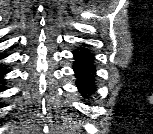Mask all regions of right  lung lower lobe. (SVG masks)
<instances>
[{
    "label": "right lung lower lobe",
    "instance_id": "obj_1",
    "mask_svg": "<svg viewBox=\"0 0 153 134\" xmlns=\"http://www.w3.org/2000/svg\"><path fill=\"white\" fill-rule=\"evenodd\" d=\"M2 58H4V57H2ZM6 73H7V72H6L5 70H0V78H2L3 75L6 74ZM4 83H5V81L0 79V84L3 85ZM2 90H3V89H2V86H0V92H1Z\"/></svg>",
    "mask_w": 153,
    "mask_h": 134
}]
</instances>
